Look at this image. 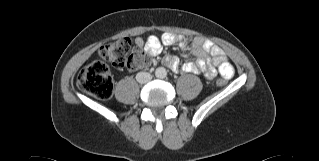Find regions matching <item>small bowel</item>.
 Masks as SVG:
<instances>
[{
    "label": "small bowel",
    "mask_w": 319,
    "mask_h": 161,
    "mask_svg": "<svg viewBox=\"0 0 319 161\" xmlns=\"http://www.w3.org/2000/svg\"><path fill=\"white\" fill-rule=\"evenodd\" d=\"M136 43L139 46H143L151 55H157L160 53L162 44L172 45L178 43L182 49L191 48L192 53L198 57L195 64L186 63L182 66V70L185 72H198L203 71L206 66V55L211 53L214 58V68H210L205 72V76L208 79L215 77L216 70L225 78H230L234 74L233 66L226 60L223 50L212 45L208 41H202L200 39H191L187 36H175L171 33H164L161 37L156 35H150L149 37L137 38ZM166 65L173 71L178 72L181 69L179 61L175 57H169L166 60ZM216 69V70H215Z\"/></svg>",
    "instance_id": "obj_1"
}]
</instances>
